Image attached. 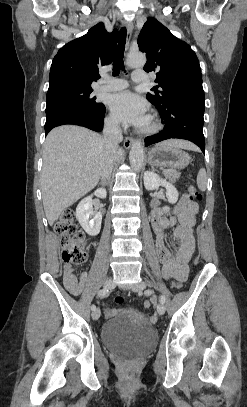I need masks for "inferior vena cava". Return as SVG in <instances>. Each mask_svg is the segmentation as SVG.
<instances>
[{"mask_svg":"<svg viewBox=\"0 0 247 407\" xmlns=\"http://www.w3.org/2000/svg\"><path fill=\"white\" fill-rule=\"evenodd\" d=\"M103 135L105 150L100 166V176L102 181H107L110 178L113 169L118 145L123 140L119 123L115 120H106L104 123Z\"/></svg>","mask_w":247,"mask_h":407,"instance_id":"1","label":"inferior vena cava"}]
</instances>
